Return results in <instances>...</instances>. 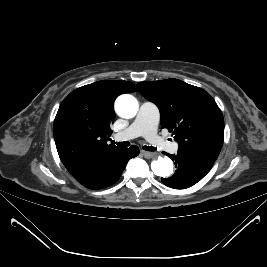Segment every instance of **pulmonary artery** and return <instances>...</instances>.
I'll return each mask as SVG.
<instances>
[{
  "label": "pulmonary artery",
  "mask_w": 267,
  "mask_h": 267,
  "mask_svg": "<svg viewBox=\"0 0 267 267\" xmlns=\"http://www.w3.org/2000/svg\"><path fill=\"white\" fill-rule=\"evenodd\" d=\"M159 120L160 112L158 107L154 103L144 102L141 104L138 114L131 125L127 129L116 133L114 138L118 141H124L143 136L158 149L175 153L178 150V144L167 142L157 134Z\"/></svg>",
  "instance_id": "e3ab8cb5"
}]
</instances>
